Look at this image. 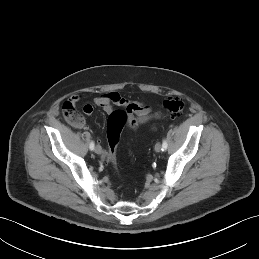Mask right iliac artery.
I'll list each match as a JSON object with an SVG mask.
<instances>
[{
    "label": "right iliac artery",
    "mask_w": 259,
    "mask_h": 259,
    "mask_svg": "<svg viewBox=\"0 0 259 259\" xmlns=\"http://www.w3.org/2000/svg\"><path fill=\"white\" fill-rule=\"evenodd\" d=\"M89 148H90V150H93V149H94V142H93V141H91V143H90V145H89Z\"/></svg>",
    "instance_id": "1"
}]
</instances>
